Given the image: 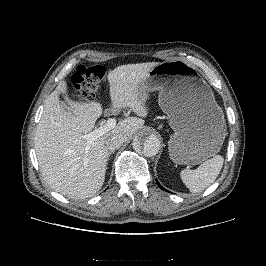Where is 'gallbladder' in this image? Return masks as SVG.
I'll list each match as a JSON object with an SVG mask.
<instances>
[{"label": "gallbladder", "mask_w": 266, "mask_h": 266, "mask_svg": "<svg viewBox=\"0 0 266 266\" xmlns=\"http://www.w3.org/2000/svg\"><path fill=\"white\" fill-rule=\"evenodd\" d=\"M60 107L67 113H72L71 110L69 109V107L64 103V102H60Z\"/></svg>", "instance_id": "1"}]
</instances>
